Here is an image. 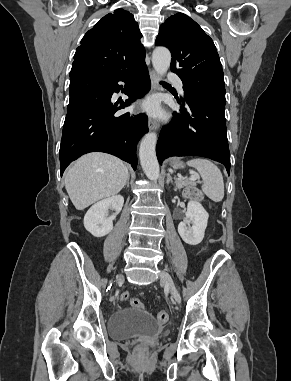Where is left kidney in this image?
I'll return each mask as SVG.
<instances>
[{
  "label": "left kidney",
  "mask_w": 291,
  "mask_h": 381,
  "mask_svg": "<svg viewBox=\"0 0 291 381\" xmlns=\"http://www.w3.org/2000/svg\"><path fill=\"white\" fill-rule=\"evenodd\" d=\"M209 214L197 201H189L186 217L178 225V232L183 241L189 245H197L204 238Z\"/></svg>",
  "instance_id": "left-kidney-1"
}]
</instances>
